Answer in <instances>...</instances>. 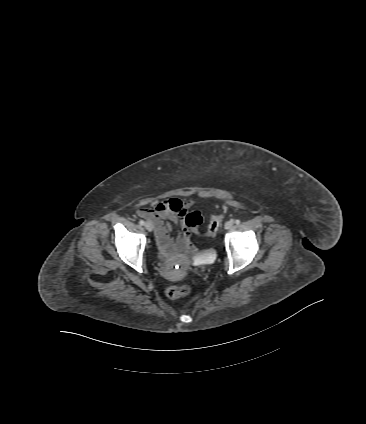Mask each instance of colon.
<instances>
[{"label": "colon", "mask_w": 366, "mask_h": 424, "mask_svg": "<svg viewBox=\"0 0 366 424\" xmlns=\"http://www.w3.org/2000/svg\"><path fill=\"white\" fill-rule=\"evenodd\" d=\"M224 216L222 214L216 215L209 221L206 231L203 236L212 237L216 234L220 224L223 221ZM186 233H194L201 235L199 227L203 222V215L199 210H192L184 214L183 216ZM194 249L191 248V251ZM167 295L171 298H181L187 296L191 292V287L186 284L171 285L167 288Z\"/></svg>", "instance_id": "5ec220e1"}]
</instances>
